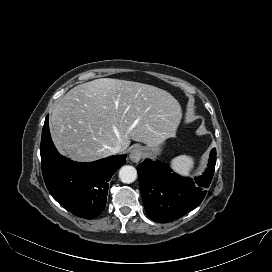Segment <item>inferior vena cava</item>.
<instances>
[{"label": "inferior vena cava", "mask_w": 272, "mask_h": 272, "mask_svg": "<svg viewBox=\"0 0 272 272\" xmlns=\"http://www.w3.org/2000/svg\"><path fill=\"white\" fill-rule=\"evenodd\" d=\"M112 154H116L121 151V145H115L109 148Z\"/></svg>", "instance_id": "inferior-vena-cava-1"}]
</instances>
